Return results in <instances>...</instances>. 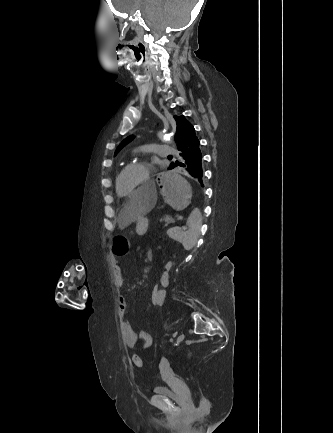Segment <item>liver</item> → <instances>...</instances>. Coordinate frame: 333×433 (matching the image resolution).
Returning <instances> with one entry per match:
<instances>
[{
    "label": "liver",
    "instance_id": "obj_1",
    "mask_svg": "<svg viewBox=\"0 0 333 433\" xmlns=\"http://www.w3.org/2000/svg\"><path fill=\"white\" fill-rule=\"evenodd\" d=\"M140 192H129V201H120L119 209L123 210L118 216V226L122 230L142 215H148L151 210V201H157L158 194L155 183H140ZM155 202L152 204L154 207Z\"/></svg>",
    "mask_w": 333,
    "mask_h": 433
}]
</instances>
